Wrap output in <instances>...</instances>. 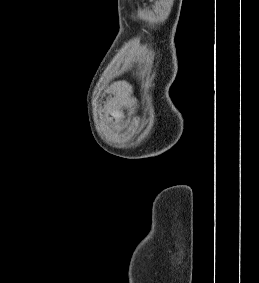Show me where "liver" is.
<instances>
[{"mask_svg": "<svg viewBox=\"0 0 259 283\" xmlns=\"http://www.w3.org/2000/svg\"><path fill=\"white\" fill-rule=\"evenodd\" d=\"M111 114H112L113 117H115V118H117V119H121V118L124 117L123 113L120 112L119 110H113V111L111 112Z\"/></svg>", "mask_w": 259, "mask_h": 283, "instance_id": "6515ba94", "label": "liver"}]
</instances>
